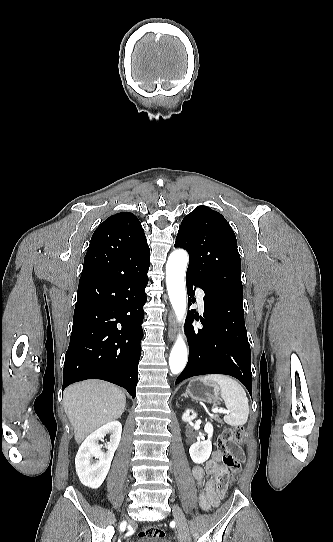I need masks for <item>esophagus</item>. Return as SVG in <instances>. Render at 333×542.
Wrapping results in <instances>:
<instances>
[{"label":"esophagus","mask_w":333,"mask_h":542,"mask_svg":"<svg viewBox=\"0 0 333 542\" xmlns=\"http://www.w3.org/2000/svg\"><path fill=\"white\" fill-rule=\"evenodd\" d=\"M168 321H169L168 337L170 340H173L176 334V321L172 312L169 313Z\"/></svg>","instance_id":"34e87169"}]
</instances>
